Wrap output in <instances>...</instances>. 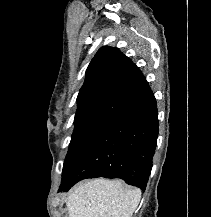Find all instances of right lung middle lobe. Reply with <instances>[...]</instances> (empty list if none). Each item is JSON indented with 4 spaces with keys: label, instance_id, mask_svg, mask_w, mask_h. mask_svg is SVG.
Returning <instances> with one entry per match:
<instances>
[{
    "label": "right lung middle lobe",
    "instance_id": "dd1d6c3e",
    "mask_svg": "<svg viewBox=\"0 0 211 217\" xmlns=\"http://www.w3.org/2000/svg\"><path fill=\"white\" fill-rule=\"evenodd\" d=\"M115 118L111 115H95L75 120L74 132L64 161L62 179L70 173L80 157Z\"/></svg>",
    "mask_w": 211,
    "mask_h": 217
}]
</instances>
